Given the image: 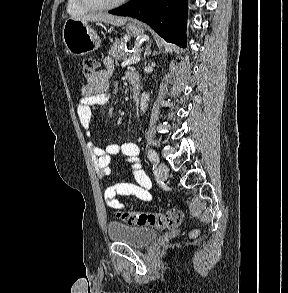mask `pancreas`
Returning <instances> with one entry per match:
<instances>
[{
	"instance_id": "cf45deb5",
	"label": "pancreas",
	"mask_w": 288,
	"mask_h": 293,
	"mask_svg": "<svg viewBox=\"0 0 288 293\" xmlns=\"http://www.w3.org/2000/svg\"><path fill=\"white\" fill-rule=\"evenodd\" d=\"M126 47V41L124 39H117L113 43L111 50L108 52V54L115 58L116 61L126 60L127 58H130V54L124 53V48ZM138 51H134L133 55H138Z\"/></svg>"
}]
</instances>
